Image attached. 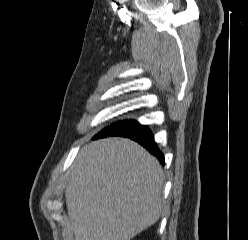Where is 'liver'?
Instances as JSON below:
<instances>
[{"label": "liver", "instance_id": "6515ba94", "mask_svg": "<svg viewBox=\"0 0 248 240\" xmlns=\"http://www.w3.org/2000/svg\"><path fill=\"white\" fill-rule=\"evenodd\" d=\"M163 179L158 160L130 139L86 145L65 191L75 240H130L156 223Z\"/></svg>", "mask_w": 248, "mask_h": 240}]
</instances>
